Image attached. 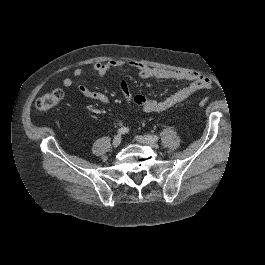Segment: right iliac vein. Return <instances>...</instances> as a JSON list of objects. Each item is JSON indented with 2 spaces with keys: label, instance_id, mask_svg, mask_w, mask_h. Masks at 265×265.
<instances>
[{
  "label": "right iliac vein",
  "instance_id": "obj_1",
  "mask_svg": "<svg viewBox=\"0 0 265 265\" xmlns=\"http://www.w3.org/2000/svg\"><path fill=\"white\" fill-rule=\"evenodd\" d=\"M121 140L122 138L120 135L115 136L112 142L113 147H118L121 144Z\"/></svg>",
  "mask_w": 265,
  "mask_h": 265
}]
</instances>
